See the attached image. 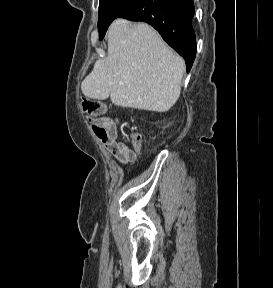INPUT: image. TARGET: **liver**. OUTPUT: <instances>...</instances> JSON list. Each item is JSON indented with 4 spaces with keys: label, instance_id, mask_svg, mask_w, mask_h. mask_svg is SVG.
<instances>
[{
    "label": "liver",
    "instance_id": "1",
    "mask_svg": "<svg viewBox=\"0 0 273 288\" xmlns=\"http://www.w3.org/2000/svg\"><path fill=\"white\" fill-rule=\"evenodd\" d=\"M184 62L146 23L115 20L108 29V54L96 61L81 90L92 99L110 96L116 106L166 112L178 100Z\"/></svg>",
    "mask_w": 273,
    "mask_h": 288
}]
</instances>
